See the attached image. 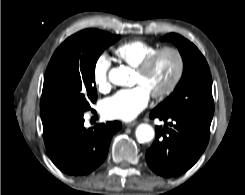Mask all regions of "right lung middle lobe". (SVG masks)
<instances>
[{
    "mask_svg": "<svg viewBox=\"0 0 245 195\" xmlns=\"http://www.w3.org/2000/svg\"><path fill=\"white\" fill-rule=\"evenodd\" d=\"M120 35L86 29L67 38L47 67L40 102L43 124L84 115L97 99L95 65Z\"/></svg>",
    "mask_w": 245,
    "mask_h": 195,
    "instance_id": "1",
    "label": "right lung middle lobe"
}]
</instances>
